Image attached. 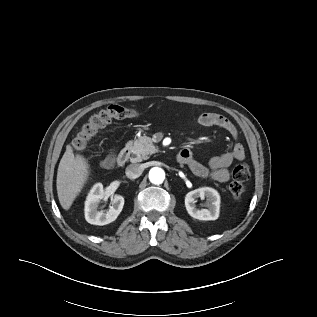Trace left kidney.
<instances>
[{
  "label": "left kidney",
  "instance_id": "obj_1",
  "mask_svg": "<svg viewBox=\"0 0 317 317\" xmlns=\"http://www.w3.org/2000/svg\"><path fill=\"white\" fill-rule=\"evenodd\" d=\"M206 198L207 209H198L196 207L197 199ZM185 207L188 214L198 220H216L219 217L220 196L219 193L210 187L195 189L186 194Z\"/></svg>",
  "mask_w": 317,
  "mask_h": 317
}]
</instances>
